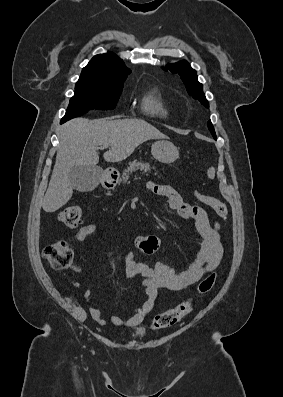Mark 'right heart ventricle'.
Listing matches in <instances>:
<instances>
[{"label":"right heart ventricle","instance_id":"right-heart-ventricle-1","mask_svg":"<svg viewBox=\"0 0 283 397\" xmlns=\"http://www.w3.org/2000/svg\"><path fill=\"white\" fill-rule=\"evenodd\" d=\"M141 105L144 113L152 117L164 118L169 114L168 106L157 89L148 91L142 98Z\"/></svg>","mask_w":283,"mask_h":397}]
</instances>
